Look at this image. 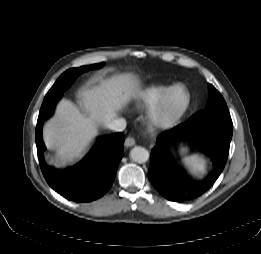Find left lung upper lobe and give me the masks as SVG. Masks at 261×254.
<instances>
[{
  "instance_id": "5c2ea615",
  "label": "left lung upper lobe",
  "mask_w": 261,
  "mask_h": 254,
  "mask_svg": "<svg viewBox=\"0 0 261 254\" xmlns=\"http://www.w3.org/2000/svg\"><path fill=\"white\" fill-rule=\"evenodd\" d=\"M209 100L206 108L193 115L190 120L192 122H198L201 120H220V121H232L227 104L222 95L214 88L213 85H209Z\"/></svg>"
}]
</instances>
